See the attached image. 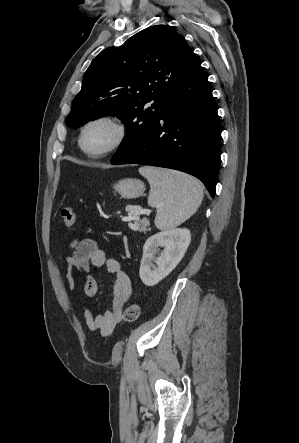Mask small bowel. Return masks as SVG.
<instances>
[{
	"label": "small bowel",
	"instance_id": "c3829d8e",
	"mask_svg": "<svg viewBox=\"0 0 299 443\" xmlns=\"http://www.w3.org/2000/svg\"><path fill=\"white\" fill-rule=\"evenodd\" d=\"M67 248L72 250V255L66 259V279L70 290L75 287V274L84 272L86 273L85 296L93 298L97 294V282L89 274L91 268L105 267L115 278L110 309L99 313H93L89 308L84 310L87 327L91 331L98 330L102 337H109L121 321L123 307L132 296L131 280L122 271L120 262L116 258L107 256L95 240L75 238L69 242Z\"/></svg>",
	"mask_w": 299,
	"mask_h": 443
}]
</instances>
